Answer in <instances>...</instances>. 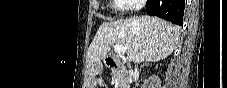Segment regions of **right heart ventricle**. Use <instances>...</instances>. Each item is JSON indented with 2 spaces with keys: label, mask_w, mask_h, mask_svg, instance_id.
I'll return each instance as SVG.
<instances>
[{
  "label": "right heart ventricle",
  "mask_w": 227,
  "mask_h": 88,
  "mask_svg": "<svg viewBox=\"0 0 227 88\" xmlns=\"http://www.w3.org/2000/svg\"><path fill=\"white\" fill-rule=\"evenodd\" d=\"M115 6H116V8L117 9H119L121 6H120V4H118V3H121V1H119V0H115Z\"/></svg>",
  "instance_id": "right-heart-ventricle-1"
}]
</instances>
